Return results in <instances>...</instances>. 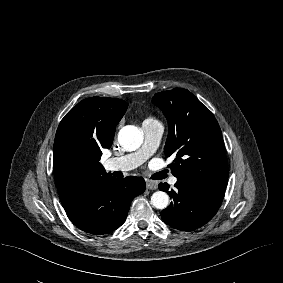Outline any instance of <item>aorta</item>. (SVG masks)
Here are the masks:
<instances>
[{
  "instance_id": "1",
  "label": "aorta",
  "mask_w": 283,
  "mask_h": 283,
  "mask_svg": "<svg viewBox=\"0 0 283 283\" xmlns=\"http://www.w3.org/2000/svg\"><path fill=\"white\" fill-rule=\"evenodd\" d=\"M118 141L126 151H135L143 142V133L138 127L127 125L120 129ZM151 204L157 209H165L169 204L168 194L163 191L154 192Z\"/></svg>"
}]
</instances>
